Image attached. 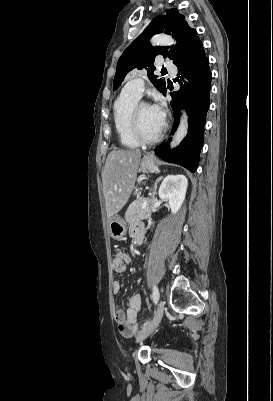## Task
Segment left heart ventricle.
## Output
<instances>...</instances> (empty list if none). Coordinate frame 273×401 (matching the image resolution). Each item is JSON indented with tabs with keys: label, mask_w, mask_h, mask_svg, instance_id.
<instances>
[{
	"label": "left heart ventricle",
	"mask_w": 273,
	"mask_h": 401,
	"mask_svg": "<svg viewBox=\"0 0 273 401\" xmlns=\"http://www.w3.org/2000/svg\"><path fill=\"white\" fill-rule=\"evenodd\" d=\"M137 119L141 131L146 136H154L162 129V126L155 120L148 106H141L137 113Z\"/></svg>",
	"instance_id": "1"
}]
</instances>
